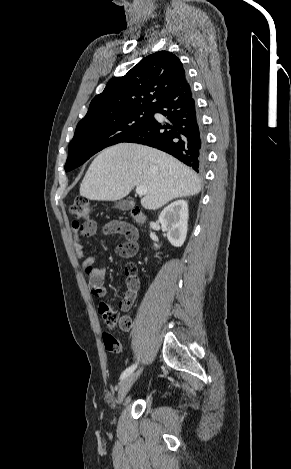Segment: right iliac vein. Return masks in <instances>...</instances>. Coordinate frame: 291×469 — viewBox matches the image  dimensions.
I'll list each match as a JSON object with an SVG mask.
<instances>
[{
    "instance_id": "obj_1",
    "label": "right iliac vein",
    "mask_w": 291,
    "mask_h": 469,
    "mask_svg": "<svg viewBox=\"0 0 291 469\" xmlns=\"http://www.w3.org/2000/svg\"><path fill=\"white\" fill-rule=\"evenodd\" d=\"M141 373V369L136 371L135 373H132L131 375L127 376L120 384L119 391H118V397H117V403L121 404L127 395L128 391L132 387L133 383L136 381V379L139 377Z\"/></svg>"
}]
</instances>
